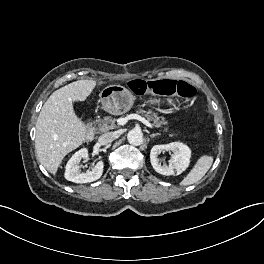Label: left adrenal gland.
<instances>
[{
    "instance_id": "obj_1",
    "label": "left adrenal gland",
    "mask_w": 264,
    "mask_h": 264,
    "mask_svg": "<svg viewBox=\"0 0 264 264\" xmlns=\"http://www.w3.org/2000/svg\"><path fill=\"white\" fill-rule=\"evenodd\" d=\"M158 135H160V133H153V134H150V137L154 138L155 136H158Z\"/></svg>"
}]
</instances>
